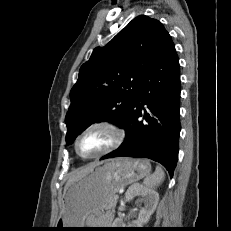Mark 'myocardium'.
Masks as SVG:
<instances>
[{
	"instance_id": "myocardium-1",
	"label": "myocardium",
	"mask_w": 231,
	"mask_h": 231,
	"mask_svg": "<svg viewBox=\"0 0 231 231\" xmlns=\"http://www.w3.org/2000/svg\"><path fill=\"white\" fill-rule=\"evenodd\" d=\"M97 127H104V128L109 129L113 133L114 140L109 147L102 150L101 152H99L95 155H92V156H84L79 152V149H78L79 139L87 131H89L93 128H97ZM124 139H125V131L123 130V128L120 125H118L117 123L110 121V120H96V121L89 123L87 126H85L78 133V135L76 136L75 141H74V149H75L76 154L81 159H84V160L97 159V158H101L103 156H106V155L114 152L116 149H118L121 146V144L124 142Z\"/></svg>"
}]
</instances>
